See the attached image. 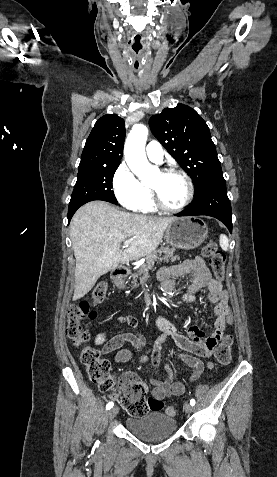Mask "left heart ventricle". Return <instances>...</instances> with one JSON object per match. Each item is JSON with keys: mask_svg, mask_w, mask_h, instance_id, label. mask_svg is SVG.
I'll return each mask as SVG.
<instances>
[{"mask_svg": "<svg viewBox=\"0 0 277 477\" xmlns=\"http://www.w3.org/2000/svg\"><path fill=\"white\" fill-rule=\"evenodd\" d=\"M158 191L163 203L169 207L181 205L187 194L184 179L176 174H162L157 172L150 181Z\"/></svg>", "mask_w": 277, "mask_h": 477, "instance_id": "obj_1", "label": "left heart ventricle"}]
</instances>
